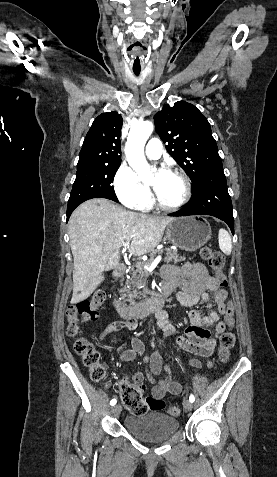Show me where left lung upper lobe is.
<instances>
[{"mask_svg":"<svg viewBox=\"0 0 277 477\" xmlns=\"http://www.w3.org/2000/svg\"><path fill=\"white\" fill-rule=\"evenodd\" d=\"M154 120L167 151L189 175L194 187L207 171L222 167L210 124L197 107L184 101L172 107L166 104Z\"/></svg>","mask_w":277,"mask_h":477,"instance_id":"obj_1","label":"left lung upper lobe"}]
</instances>
